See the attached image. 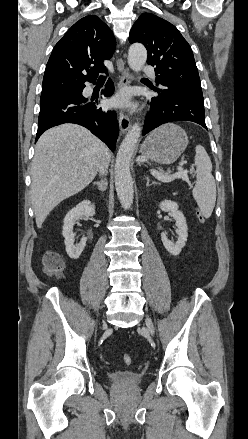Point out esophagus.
Here are the masks:
<instances>
[{
	"label": "esophagus",
	"instance_id": "1",
	"mask_svg": "<svg viewBox=\"0 0 248 439\" xmlns=\"http://www.w3.org/2000/svg\"><path fill=\"white\" fill-rule=\"evenodd\" d=\"M117 69L119 72L118 87L123 88L129 86L132 82V78L129 73V70L125 67L124 62L121 58L117 59ZM130 125L131 122L128 115H126L123 111H121L119 113V126L122 134H125L128 131Z\"/></svg>",
	"mask_w": 248,
	"mask_h": 439
}]
</instances>
